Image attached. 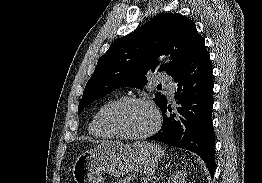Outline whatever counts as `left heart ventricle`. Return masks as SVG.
<instances>
[{"label": "left heart ventricle", "mask_w": 262, "mask_h": 183, "mask_svg": "<svg viewBox=\"0 0 262 183\" xmlns=\"http://www.w3.org/2000/svg\"><path fill=\"white\" fill-rule=\"evenodd\" d=\"M155 122L153 111L144 104H129L112 116V124L122 133L139 135L152 128Z\"/></svg>", "instance_id": "1"}]
</instances>
